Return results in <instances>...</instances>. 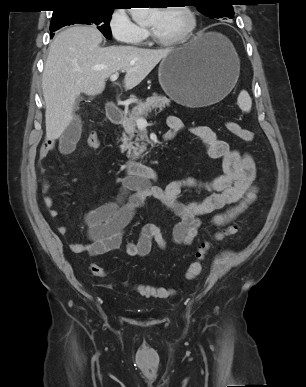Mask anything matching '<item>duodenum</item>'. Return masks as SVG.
<instances>
[{
  "instance_id": "obj_1",
  "label": "duodenum",
  "mask_w": 306,
  "mask_h": 387,
  "mask_svg": "<svg viewBox=\"0 0 306 387\" xmlns=\"http://www.w3.org/2000/svg\"><path fill=\"white\" fill-rule=\"evenodd\" d=\"M107 117L113 124H119L123 120V112L114 104H109L106 109ZM166 138H171L166 136ZM127 171L134 177L154 179L157 176L156 170L147 165L136 161H130L126 164Z\"/></svg>"
}]
</instances>
